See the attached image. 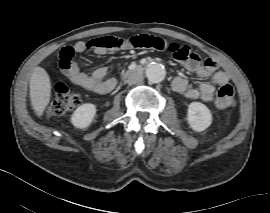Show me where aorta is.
I'll use <instances>...</instances> for the list:
<instances>
[{
	"label": "aorta",
	"mask_w": 270,
	"mask_h": 213,
	"mask_svg": "<svg viewBox=\"0 0 270 213\" xmlns=\"http://www.w3.org/2000/svg\"><path fill=\"white\" fill-rule=\"evenodd\" d=\"M166 75L164 66L159 63H152L146 69V77L152 83H160Z\"/></svg>",
	"instance_id": "1"
}]
</instances>
